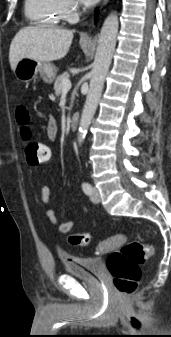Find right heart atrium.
I'll list each match as a JSON object with an SVG mask.
<instances>
[{"label": "right heart atrium", "instance_id": "1", "mask_svg": "<svg viewBox=\"0 0 171 337\" xmlns=\"http://www.w3.org/2000/svg\"><path fill=\"white\" fill-rule=\"evenodd\" d=\"M63 20L73 22L77 19L81 7L77 0H57Z\"/></svg>", "mask_w": 171, "mask_h": 337}]
</instances>
